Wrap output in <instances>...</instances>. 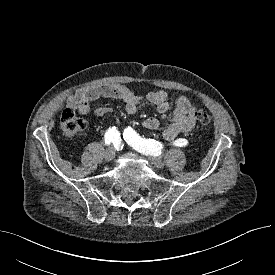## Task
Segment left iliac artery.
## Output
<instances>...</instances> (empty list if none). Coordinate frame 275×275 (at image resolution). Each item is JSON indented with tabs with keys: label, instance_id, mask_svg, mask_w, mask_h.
I'll use <instances>...</instances> for the list:
<instances>
[{
	"label": "left iliac artery",
	"instance_id": "1",
	"mask_svg": "<svg viewBox=\"0 0 275 275\" xmlns=\"http://www.w3.org/2000/svg\"><path fill=\"white\" fill-rule=\"evenodd\" d=\"M123 137L134 149L147 155H158L162 144L153 139H145L139 136L131 127L124 130ZM174 146L185 147L188 145L186 139L180 138L173 142Z\"/></svg>",
	"mask_w": 275,
	"mask_h": 275
}]
</instances>
